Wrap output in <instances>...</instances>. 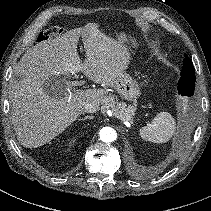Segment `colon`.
Instances as JSON below:
<instances>
[{
  "mask_svg": "<svg viewBox=\"0 0 211 211\" xmlns=\"http://www.w3.org/2000/svg\"><path fill=\"white\" fill-rule=\"evenodd\" d=\"M63 33V29L61 27H52L46 30L39 32L37 35L36 41L38 43H45L50 40L52 37L59 36Z\"/></svg>",
  "mask_w": 211,
  "mask_h": 211,
  "instance_id": "colon-1",
  "label": "colon"
}]
</instances>
